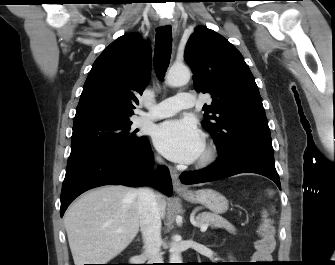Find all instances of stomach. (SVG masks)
I'll list each match as a JSON object with an SVG mask.
<instances>
[{"instance_id": "1", "label": "stomach", "mask_w": 335, "mask_h": 265, "mask_svg": "<svg viewBox=\"0 0 335 265\" xmlns=\"http://www.w3.org/2000/svg\"><path fill=\"white\" fill-rule=\"evenodd\" d=\"M181 196L190 203L202 204L214 214H222L228 210V200L213 189H201L182 193Z\"/></svg>"}]
</instances>
